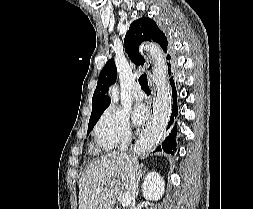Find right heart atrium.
I'll return each mask as SVG.
<instances>
[{"mask_svg": "<svg viewBox=\"0 0 253 209\" xmlns=\"http://www.w3.org/2000/svg\"><path fill=\"white\" fill-rule=\"evenodd\" d=\"M132 136L127 113L114 107L104 111L94 127L95 143L104 151L128 143Z\"/></svg>", "mask_w": 253, "mask_h": 209, "instance_id": "1", "label": "right heart atrium"}]
</instances>
